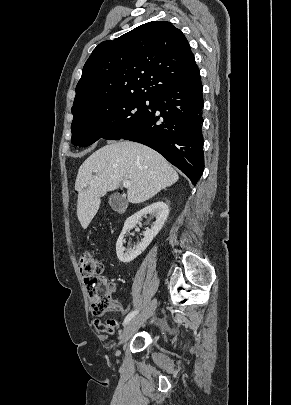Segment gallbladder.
<instances>
[{
    "label": "gallbladder",
    "mask_w": 291,
    "mask_h": 405,
    "mask_svg": "<svg viewBox=\"0 0 291 405\" xmlns=\"http://www.w3.org/2000/svg\"><path fill=\"white\" fill-rule=\"evenodd\" d=\"M109 205L116 212H122L127 207V200L124 196L119 193L112 194L109 197Z\"/></svg>",
    "instance_id": "gallbladder-1"
}]
</instances>
